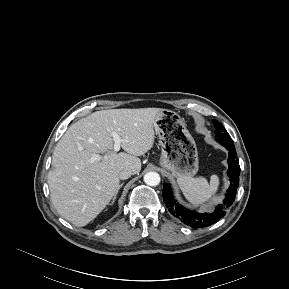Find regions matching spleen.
Returning <instances> with one entry per match:
<instances>
[{"instance_id":"spleen-1","label":"spleen","mask_w":289,"mask_h":289,"mask_svg":"<svg viewBox=\"0 0 289 289\" xmlns=\"http://www.w3.org/2000/svg\"><path fill=\"white\" fill-rule=\"evenodd\" d=\"M177 182L185 198L193 205L198 206L208 201L216 193L219 177L212 175L210 182L204 177H180Z\"/></svg>"}]
</instances>
